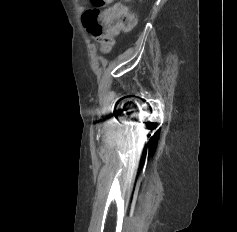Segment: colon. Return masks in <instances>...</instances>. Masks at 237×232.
<instances>
[{
    "label": "colon",
    "instance_id": "obj_1",
    "mask_svg": "<svg viewBox=\"0 0 237 232\" xmlns=\"http://www.w3.org/2000/svg\"><path fill=\"white\" fill-rule=\"evenodd\" d=\"M94 7L83 13L82 21L103 52H108L120 32L130 31L136 24V14L122 3L106 9L114 0H91Z\"/></svg>",
    "mask_w": 237,
    "mask_h": 232
}]
</instances>
